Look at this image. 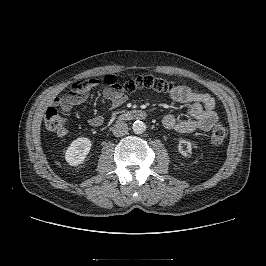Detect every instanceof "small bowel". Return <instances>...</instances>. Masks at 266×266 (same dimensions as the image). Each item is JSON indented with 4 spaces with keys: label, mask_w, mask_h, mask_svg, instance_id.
I'll use <instances>...</instances> for the list:
<instances>
[{
    "label": "small bowel",
    "mask_w": 266,
    "mask_h": 266,
    "mask_svg": "<svg viewBox=\"0 0 266 266\" xmlns=\"http://www.w3.org/2000/svg\"><path fill=\"white\" fill-rule=\"evenodd\" d=\"M171 98L181 104H189V118L179 120L174 115H166L163 118V126L166 129L174 130L181 133H190L197 130L209 131L218 121L215 111V99L209 94L195 92L183 84L176 85L171 91ZM88 99V94H77L70 92L55 100V103L65 112H70L74 106L84 104ZM103 102L110 103V109H116L125 103L127 96L122 92L108 88L103 91ZM89 125L100 127L104 118L101 115L92 116L89 119ZM67 131L60 133L66 135Z\"/></svg>",
    "instance_id": "small-bowel-1"
}]
</instances>
